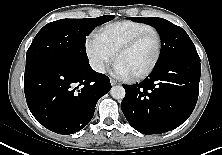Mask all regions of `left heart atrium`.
<instances>
[{
	"mask_svg": "<svg viewBox=\"0 0 222 155\" xmlns=\"http://www.w3.org/2000/svg\"><path fill=\"white\" fill-rule=\"evenodd\" d=\"M113 74L120 78H127L131 76L126 67L118 60L115 62L113 66Z\"/></svg>",
	"mask_w": 222,
	"mask_h": 155,
	"instance_id": "obj_1",
	"label": "left heart atrium"
}]
</instances>
